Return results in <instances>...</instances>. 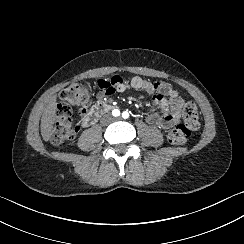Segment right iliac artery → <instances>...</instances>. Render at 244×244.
<instances>
[{"instance_id":"obj_1","label":"right iliac artery","mask_w":244,"mask_h":244,"mask_svg":"<svg viewBox=\"0 0 244 244\" xmlns=\"http://www.w3.org/2000/svg\"><path fill=\"white\" fill-rule=\"evenodd\" d=\"M113 116L118 117L120 115V111L118 109H114L112 111Z\"/></svg>"}]
</instances>
